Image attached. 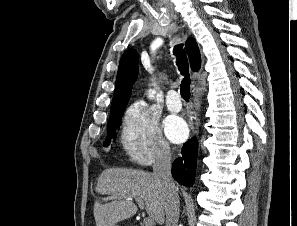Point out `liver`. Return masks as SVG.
<instances>
[{
	"instance_id": "1",
	"label": "liver",
	"mask_w": 297,
	"mask_h": 226,
	"mask_svg": "<svg viewBox=\"0 0 297 226\" xmlns=\"http://www.w3.org/2000/svg\"><path fill=\"white\" fill-rule=\"evenodd\" d=\"M95 190L100 195H112L110 203L102 204L96 199L93 210L96 226H115L117 222L134 216L137 206L130 198L142 199L147 213L158 224L164 223V189L153 174L126 168L106 169Z\"/></svg>"
}]
</instances>
